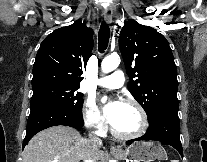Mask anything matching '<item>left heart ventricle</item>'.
Here are the masks:
<instances>
[{
    "label": "left heart ventricle",
    "instance_id": "1",
    "mask_svg": "<svg viewBox=\"0 0 207 162\" xmlns=\"http://www.w3.org/2000/svg\"><path fill=\"white\" fill-rule=\"evenodd\" d=\"M111 125L121 133H133L141 126L140 113L133 105L120 103Z\"/></svg>",
    "mask_w": 207,
    "mask_h": 162
}]
</instances>
